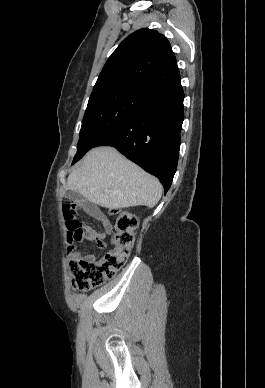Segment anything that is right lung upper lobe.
Segmentation results:
<instances>
[{
  "instance_id": "1",
  "label": "right lung upper lobe",
  "mask_w": 265,
  "mask_h": 388,
  "mask_svg": "<svg viewBox=\"0 0 265 388\" xmlns=\"http://www.w3.org/2000/svg\"><path fill=\"white\" fill-rule=\"evenodd\" d=\"M180 82L167 38L143 28L123 40L103 67L93 92L122 91L144 98Z\"/></svg>"
}]
</instances>
